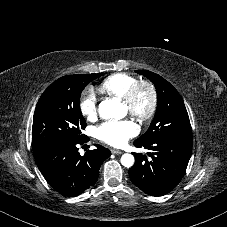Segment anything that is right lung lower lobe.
<instances>
[{"instance_id": "98d812e1", "label": "right lung lower lobe", "mask_w": 227, "mask_h": 227, "mask_svg": "<svg viewBox=\"0 0 227 227\" xmlns=\"http://www.w3.org/2000/svg\"><path fill=\"white\" fill-rule=\"evenodd\" d=\"M87 141L51 142L33 150L42 175L62 195L77 196L93 186L101 164L111 155L109 149L95 145L81 156L77 146Z\"/></svg>"}]
</instances>
